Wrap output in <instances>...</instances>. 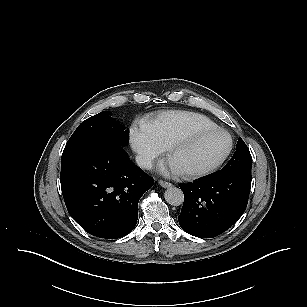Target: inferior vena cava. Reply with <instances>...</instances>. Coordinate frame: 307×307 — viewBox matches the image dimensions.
I'll return each instance as SVG.
<instances>
[{"label": "inferior vena cava", "mask_w": 307, "mask_h": 307, "mask_svg": "<svg viewBox=\"0 0 307 307\" xmlns=\"http://www.w3.org/2000/svg\"><path fill=\"white\" fill-rule=\"evenodd\" d=\"M135 160L139 167L144 168L146 170H150L153 167L152 160L149 157L143 155H137L135 157Z\"/></svg>", "instance_id": "inferior-vena-cava-1"}]
</instances>
